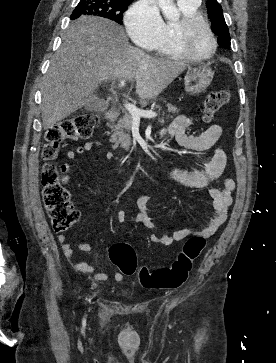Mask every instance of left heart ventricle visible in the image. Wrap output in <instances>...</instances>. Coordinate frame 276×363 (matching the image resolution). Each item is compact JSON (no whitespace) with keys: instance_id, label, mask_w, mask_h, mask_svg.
I'll use <instances>...</instances> for the list:
<instances>
[{"instance_id":"left-heart-ventricle-1","label":"left heart ventricle","mask_w":276,"mask_h":363,"mask_svg":"<svg viewBox=\"0 0 276 363\" xmlns=\"http://www.w3.org/2000/svg\"><path fill=\"white\" fill-rule=\"evenodd\" d=\"M189 50L200 56L207 55L212 49V41L204 26L195 27L187 38Z\"/></svg>"}]
</instances>
